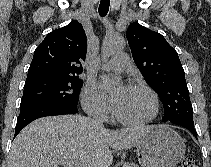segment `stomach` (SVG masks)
I'll list each match as a JSON object with an SVG mask.
<instances>
[{
    "instance_id": "obj_1",
    "label": "stomach",
    "mask_w": 211,
    "mask_h": 167,
    "mask_svg": "<svg viewBox=\"0 0 211 167\" xmlns=\"http://www.w3.org/2000/svg\"><path fill=\"white\" fill-rule=\"evenodd\" d=\"M181 136L166 126H153L136 144L142 167H175L185 154Z\"/></svg>"
}]
</instances>
